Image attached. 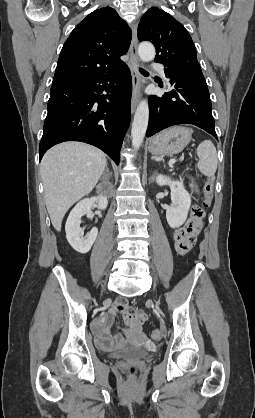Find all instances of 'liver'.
I'll list each match as a JSON object with an SVG mask.
<instances>
[{"label":"liver","instance_id":"1","mask_svg":"<svg viewBox=\"0 0 255 418\" xmlns=\"http://www.w3.org/2000/svg\"><path fill=\"white\" fill-rule=\"evenodd\" d=\"M106 165L104 152L81 142H64L45 153L41 177L47 211L57 231L68 209L93 190Z\"/></svg>","mask_w":255,"mask_h":418}]
</instances>
